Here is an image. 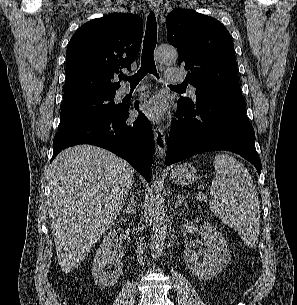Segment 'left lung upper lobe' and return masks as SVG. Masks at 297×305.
I'll return each instance as SVG.
<instances>
[{"label": "left lung upper lobe", "instance_id": "obj_1", "mask_svg": "<svg viewBox=\"0 0 297 305\" xmlns=\"http://www.w3.org/2000/svg\"><path fill=\"white\" fill-rule=\"evenodd\" d=\"M166 26L168 42L179 51V65L189 70L187 82L197 88L196 98L238 84L233 41L220 21L194 10L175 9Z\"/></svg>", "mask_w": 297, "mask_h": 305}]
</instances>
